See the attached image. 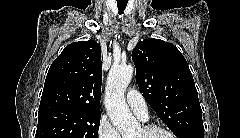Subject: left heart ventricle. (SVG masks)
I'll use <instances>...</instances> for the list:
<instances>
[{"mask_svg": "<svg viewBox=\"0 0 240 138\" xmlns=\"http://www.w3.org/2000/svg\"><path fill=\"white\" fill-rule=\"evenodd\" d=\"M134 138H166V135L161 132H155L152 134H146L142 129H140Z\"/></svg>", "mask_w": 240, "mask_h": 138, "instance_id": "1", "label": "left heart ventricle"}]
</instances>
